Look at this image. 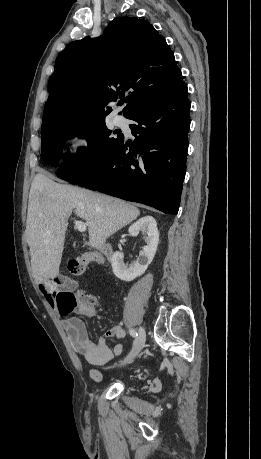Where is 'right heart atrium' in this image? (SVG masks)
Masks as SVG:
<instances>
[{
    "instance_id": "right-heart-atrium-1",
    "label": "right heart atrium",
    "mask_w": 261,
    "mask_h": 459,
    "mask_svg": "<svg viewBox=\"0 0 261 459\" xmlns=\"http://www.w3.org/2000/svg\"><path fill=\"white\" fill-rule=\"evenodd\" d=\"M69 144V158L70 160L75 161L89 150L92 144V138L87 130L80 128L70 135Z\"/></svg>"
}]
</instances>
